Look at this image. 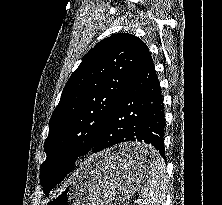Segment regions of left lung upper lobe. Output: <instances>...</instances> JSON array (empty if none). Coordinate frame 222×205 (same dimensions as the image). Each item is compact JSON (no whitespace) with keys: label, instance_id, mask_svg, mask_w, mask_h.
I'll return each instance as SVG.
<instances>
[{"label":"left lung upper lobe","instance_id":"left-lung-upper-lobe-1","mask_svg":"<svg viewBox=\"0 0 222 205\" xmlns=\"http://www.w3.org/2000/svg\"><path fill=\"white\" fill-rule=\"evenodd\" d=\"M145 49L131 34L113 35L96 44L71 75L44 143L47 159L40 166V182L45 194L66 176L56 167L62 154L90 152Z\"/></svg>","mask_w":222,"mask_h":205}]
</instances>
